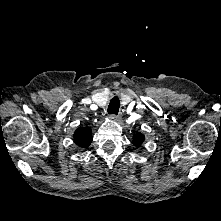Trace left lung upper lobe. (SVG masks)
<instances>
[{
    "mask_svg": "<svg viewBox=\"0 0 221 221\" xmlns=\"http://www.w3.org/2000/svg\"><path fill=\"white\" fill-rule=\"evenodd\" d=\"M144 135L142 133H136L133 136V144L137 147L141 146L144 141Z\"/></svg>",
    "mask_w": 221,
    "mask_h": 221,
    "instance_id": "left-lung-upper-lobe-1",
    "label": "left lung upper lobe"
}]
</instances>
